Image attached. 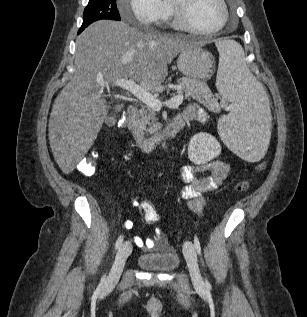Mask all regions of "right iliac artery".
Segmentation results:
<instances>
[{
  "instance_id": "obj_1",
  "label": "right iliac artery",
  "mask_w": 307,
  "mask_h": 317,
  "mask_svg": "<svg viewBox=\"0 0 307 317\" xmlns=\"http://www.w3.org/2000/svg\"><path fill=\"white\" fill-rule=\"evenodd\" d=\"M122 242H123V236L120 235L115 244L116 250L121 246ZM105 281H106V275H103V277L101 278V283H105Z\"/></svg>"
}]
</instances>
